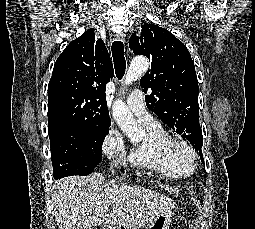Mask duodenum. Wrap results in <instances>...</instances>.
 Wrapping results in <instances>:
<instances>
[{
  "mask_svg": "<svg viewBox=\"0 0 255 229\" xmlns=\"http://www.w3.org/2000/svg\"><path fill=\"white\" fill-rule=\"evenodd\" d=\"M109 229H124V228L120 224H114V225H111V228H109Z\"/></svg>",
  "mask_w": 255,
  "mask_h": 229,
  "instance_id": "410a0bca",
  "label": "duodenum"
}]
</instances>
